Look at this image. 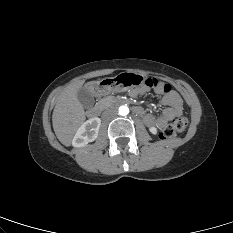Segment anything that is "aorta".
Wrapping results in <instances>:
<instances>
[{
	"label": "aorta",
	"mask_w": 233,
	"mask_h": 233,
	"mask_svg": "<svg viewBox=\"0 0 233 233\" xmlns=\"http://www.w3.org/2000/svg\"><path fill=\"white\" fill-rule=\"evenodd\" d=\"M118 112L121 116H126L129 113V108L126 105H122L119 107Z\"/></svg>",
	"instance_id": "1"
}]
</instances>
